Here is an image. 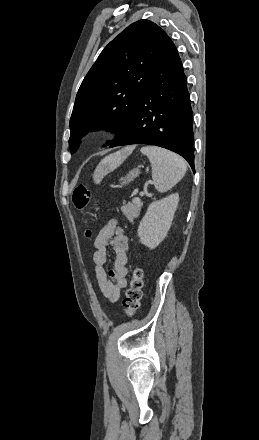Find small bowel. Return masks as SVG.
<instances>
[{"label":"small bowel","mask_w":259,"mask_h":440,"mask_svg":"<svg viewBox=\"0 0 259 440\" xmlns=\"http://www.w3.org/2000/svg\"><path fill=\"white\" fill-rule=\"evenodd\" d=\"M108 247L115 254L113 268L110 270L105 269ZM94 248L93 269L99 288L110 302H116L121 290L127 286L129 251L128 238L116 220L111 219L99 231L94 240Z\"/></svg>","instance_id":"small-bowel-1"}]
</instances>
